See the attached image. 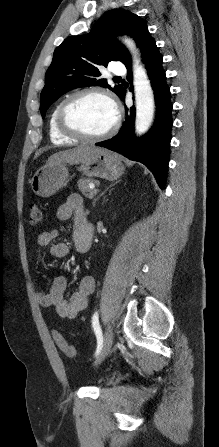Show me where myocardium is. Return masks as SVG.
<instances>
[{"instance_id": "myocardium-1", "label": "myocardium", "mask_w": 219, "mask_h": 447, "mask_svg": "<svg viewBox=\"0 0 219 447\" xmlns=\"http://www.w3.org/2000/svg\"><path fill=\"white\" fill-rule=\"evenodd\" d=\"M88 95H97L107 100L115 111V119L113 124L105 132L97 135H91L74 127L68 120V112L71 107L82 97ZM57 127L60 132L68 137L86 142H95L111 137L120 125V112L114 99L104 90L99 88H86L74 92L67 97L61 104L56 116Z\"/></svg>"}]
</instances>
